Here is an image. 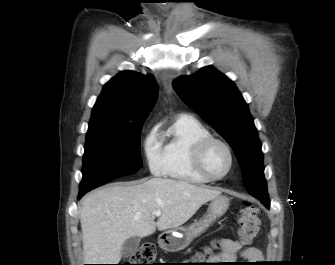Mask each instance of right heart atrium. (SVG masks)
Instances as JSON below:
<instances>
[{
	"label": "right heart atrium",
	"instance_id": "d8ad5b80",
	"mask_svg": "<svg viewBox=\"0 0 335 265\" xmlns=\"http://www.w3.org/2000/svg\"><path fill=\"white\" fill-rule=\"evenodd\" d=\"M145 158L150 171L155 175L164 173L162 142L157 127H154L145 137L143 143Z\"/></svg>",
	"mask_w": 335,
	"mask_h": 265
}]
</instances>
